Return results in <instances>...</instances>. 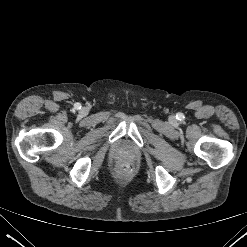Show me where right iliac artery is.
I'll return each instance as SVG.
<instances>
[{
  "label": "right iliac artery",
  "mask_w": 247,
  "mask_h": 247,
  "mask_svg": "<svg viewBox=\"0 0 247 247\" xmlns=\"http://www.w3.org/2000/svg\"><path fill=\"white\" fill-rule=\"evenodd\" d=\"M74 106H75V109H80L81 108V105L79 103H76Z\"/></svg>",
  "instance_id": "obj_1"
}]
</instances>
